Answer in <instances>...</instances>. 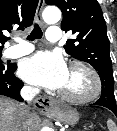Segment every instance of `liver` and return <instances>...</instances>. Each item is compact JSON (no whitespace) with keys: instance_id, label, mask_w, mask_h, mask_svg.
Masks as SVG:
<instances>
[{"instance_id":"6515ba94","label":"liver","mask_w":117,"mask_h":131,"mask_svg":"<svg viewBox=\"0 0 117 131\" xmlns=\"http://www.w3.org/2000/svg\"><path fill=\"white\" fill-rule=\"evenodd\" d=\"M20 104L0 97V131H17L20 122ZM35 114H30L27 123L33 124Z\"/></svg>"}]
</instances>
